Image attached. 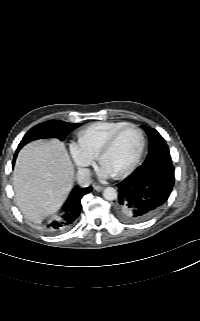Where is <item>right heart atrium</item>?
I'll use <instances>...</instances> for the list:
<instances>
[{"mask_svg": "<svg viewBox=\"0 0 200 321\" xmlns=\"http://www.w3.org/2000/svg\"><path fill=\"white\" fill-rule=\"evenodd\" d=\"M69 152L79 172L85 174L88 167L93 163L95 156L84 149L79 142H71Z\"/></svg>", "mask_w": 200, "mask_h": 321, "instance_id": "right-heart-atrium-1", "label": "right heart atrium"}]
</instances>
